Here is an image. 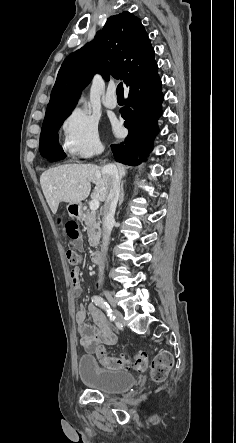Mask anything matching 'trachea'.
I'll return each instance as SVG.
<instances>
[{
	"label": "trachea",
	"mask_w": 236,
	"mask_h": 443,
	"mask_svg": "<svg viewBox=\"0 0 236 443\" xmlns=\"http://www.w3.org/2000/svg\"><path fill=\"white\" fill-rule=\"evenodd\" d=\"M123 95H124L123 84L120 82L117 86V96L123 97Z\"/></svg>",
	"instance_id": "1"
}]
</instances>
